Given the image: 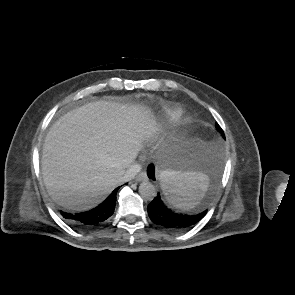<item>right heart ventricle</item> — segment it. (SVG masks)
I'll return each instance as SVG.
<instances>
[{
	"mask_svg": "<svg viewBox=\"0 0 295 295\" xmlns=\"http://www.w3.org/2000/svg\"><path fill=\"white\" fill-rule=\"evenodd\" d=\"M179 113H180L179 111H171L168 114H166V117L165 118L167 120H171V119L175 118L176 116H178Z\"/></svg>",
	"mask_w": 295,
	"mask_h": 295,
	"instance_id": "e07e8e85",
	"label": "right heart ventricle"
}]
</instances>
